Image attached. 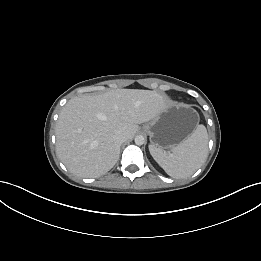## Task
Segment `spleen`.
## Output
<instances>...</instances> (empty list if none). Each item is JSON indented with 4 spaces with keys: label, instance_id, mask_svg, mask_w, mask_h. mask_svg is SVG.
Instances as JSON below:
<instances>
[{
    "label": "spleen",
    "instance_id": "3e777b00",
    "mask_svg": "<svg viewBox=\"0 0 261 261\" xmlns=\"http://www.w3.org/2000/svg\"><path fill=\"white\" fill-rule=\"evenodd\" d=\"M154 160L173 178L191 176L206 160L208 154V134L204 125H199L184 141L164 151L153 145L149 147Z\"/></svg>",
    "mask_w": 261,
    "mask_h": 261
}]
</instances>
